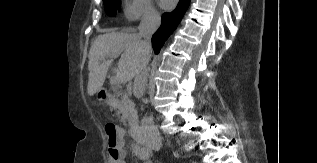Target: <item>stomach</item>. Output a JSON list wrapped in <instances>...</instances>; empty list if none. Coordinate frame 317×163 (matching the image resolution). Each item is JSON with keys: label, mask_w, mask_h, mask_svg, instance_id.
<instances>
[{"label": "stomach", "mask_w": 317, "mask_h": 163, "mask_svg": "<svg viewBox=\"0 0 317 163\" xmlns=\"http://www.w3.org/2000/svg\"><path fill=\"white\" fill-rule=\"evenodd\" d=\"M105 96H104V94L102 93V92H98L97 93V95H96V99L98 100V101H104L105 99Z\"/></svg>", "instance_id": "stomach-1"}]
</instances>
